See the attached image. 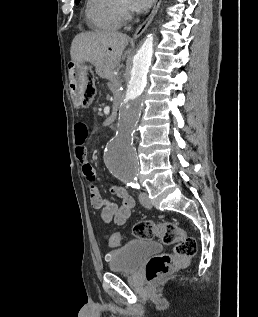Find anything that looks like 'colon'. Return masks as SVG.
<instances>
[{"instance_id": "5ec220e1", "label": "colon", "mask_w": 258, "mask_h": 317, "mask_svg": "<svg viewBox=\"0 0 258 317\" xmlns=\"http://www.w3.org/2000/svg\"><path fill=\"white\" fill-rule=\"evenodd\" d=\"M96 87L94 77L87 73L80 86L79 97L84 106L89 105L95 96ZM133 234L138 239H159L164 245H173L172 254H161L150 259L146 265V277L148 281H156L171 271L185 264L194 257L197 252L195 239L188 236L175 221L157 223L153 221H139L133 227ZM106 241L110 247H119L123 238L119 232L106 234Z\"/></svg>"}]
</instances>
